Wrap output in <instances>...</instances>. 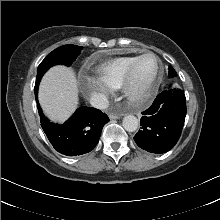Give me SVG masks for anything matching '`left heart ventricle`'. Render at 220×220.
<instances>
[{
  "instance_id": "obj_1",
  "label": "left heart ventricle",
  "mask_w": 220,
  "mask_h": 220,
  "mask_svg": "<svg viewBox=\"0 0 220 220\" xmlns=\"http://www.w3.org/2000/svg\"><path fill=\"white\" fill-rule=\"evenodd\" d=\"M157 71V61L153 56L144 57L137 65L134 75L133 89L138 91L149 83Z\"/></svg>"
}]
</instances>
